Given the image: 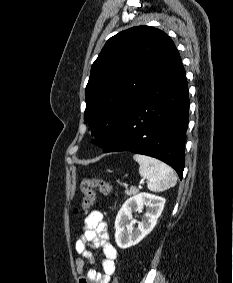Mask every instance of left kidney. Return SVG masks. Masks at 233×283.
Returning <instances> with one entry per match:
<instances>
[{
  "instance_id": "left-kidney-1",
  "label": "left kidney",
  "mask_w": 233,
  "mask_h": 283,
  "mask_svg": "<svg viewBox=\"0 0 233 283\" xmlns=\"http://www.w3.org/2000/svg\"><path fill=\"white\" fill-rule=\"evenodd\" d=\"M165 204V199L148 193H140L128 199L118 212L115 220V241L121 249H127L138 244L148 235L157 223ZM147 211L137 228H133L135 220L132 213L142 211L143 207Z\"/></svg>"
}]
</instances>
